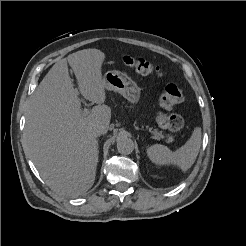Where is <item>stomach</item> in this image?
<instances>
[{"label":"stomach","mask_w":246,"mask_h":246,"mask_svg":"<svg viewBox=\"0 0 246 246\" xmlns=\"http://www.w3.org/2000/svg\"><path fill=\"white\" fill-rule=\"evenodd\" d=\"M105 88L121 94L132 104L140 99V88L129 76L120 71H108L103 76Z\"/></svg>","instance_id":"stomach-1"}]
</instances>
